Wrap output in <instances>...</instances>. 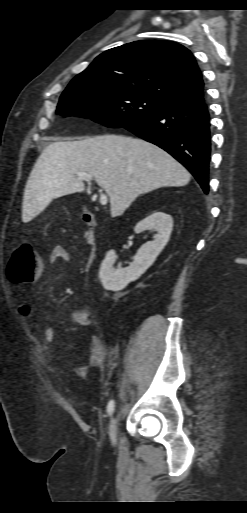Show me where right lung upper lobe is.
I'll use <instances>...</instances> for the list:
<instances>
[{"label":"right lung upper lobe","mask_w":247,"mask_h":513,"mask_svg":"<svg viewBox=\"0 0 247 513\" xmlns=\"http://www.w3.org/2000/svg\"><path fill=\"white\" fill-rule=\"evenodd\" d=\"M71 82L126 88L169 105L203 98V80L192 53L164 40H142L100 54Z\"/></svg>","instance_id":"right-lung-upper-lobe-1"}]
</instances>
